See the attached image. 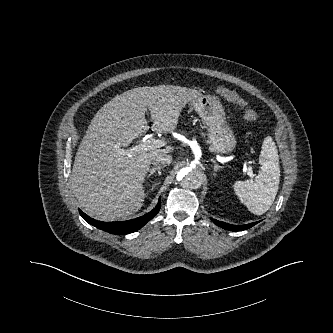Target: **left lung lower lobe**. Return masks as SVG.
Masks as SVG:
<instances>
[{"label":"left lung lower lobe","instance_id":"1","mask_svg":"<svg viewBox=\"0 0 333 333\" xmlns=\"http://www.w3.org/2000/svg\"><path fill=\"white\" fill-rule=\"evenodd\" d=\"M216 225L226 229V230H230V231H242V230H245V229H248L252 226H254L255 224H257L258 222H254V223H250V224H247V225H231V224H228V223H225V222H221V221H218V220H215V219H211Z\"/></svg>","mask_w":333,"mask_h":333}]
</instances>
